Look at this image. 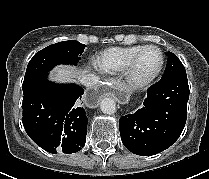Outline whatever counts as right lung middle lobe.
I'll return each instance as SVG.
<instances>
[{"mask_svg":"<svg viewBox=\"0 0 209 179\" xmlns=\"http://www.w3.org/2000/svg\"><path fill=\"white\" fill-rule=\"evenodd\" d=\"M84 48V44L70 40L50 45L36 53L27 66L22 84L23 92L54 66L58 64L77 65Z\"/></svg>","mask_w":209,"mask_h":179,"instance_id":"1","label":"right lung middle lobe"}]
</instances>
